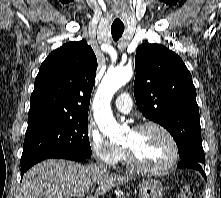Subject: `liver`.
Listing matches in <instances>:
<instances>
[{
	"instance_id": "1",
	"label": "liver",
	"mask_w": 221,
	"mask_h": 198,
	"mask_svg": "<svg viewBox=\"0 0 221 198\" xmlns=\"http://www.w3.org/2000/svg\"><path fill=\"white\" fill-rule=\"evenodd\" d=\"M129 180L131 177L115 175L107 169L48 159L24 174L21 193L22 198H71L86 193L87 198H99Z\"/></svg>"
}]
</instances>
